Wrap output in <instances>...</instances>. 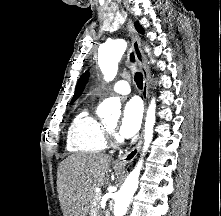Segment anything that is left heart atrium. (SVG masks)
<instances>
[{
    "mask_svg": "<svg viewBox=\"0 0 221 216\" xmlns=\"http://www.w3.org/2000/svg\"><path fill=\"white\" fill-rule=\"evenodd\" d=\"M142 121V107L138 100L128 101L122 111L119 134L123 138L133 137L139 130Z\"/></svg>",
    "mask_w": 221,
    "mask_h": 216,
    "instance_id": "1",
    "label": "left heart atrium"
}]
</instances>
